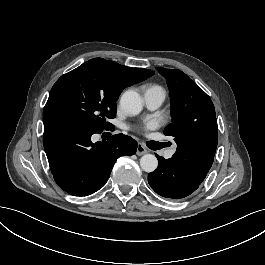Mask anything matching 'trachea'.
<instances>
[{
    "instance_id": "3493384b",
    "label": "trachea",
    "mask_w": 265,
    "mask_h": 265,
    "mask_svg": "<svg viewBox=\"0 0 265 265\" xmlns=\"http://www.w3.org/2000/svg\"><path fill=\"white\" fill-rule=\"evenodd\" d=\"M167 144L168 143H160L161 146L159 147V149L164 148V147H167Z\"/></svg>"
}]
</instances>
